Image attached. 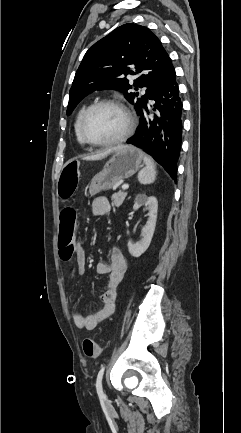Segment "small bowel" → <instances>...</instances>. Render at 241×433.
Wrapping results in <instances>:
<instances>
[{
    "instance_id": "small-bowel-1",
    "label": "small bowel",
    "mask_w": 241,
    "mask_h": 433,
    "mask_svg": "<svg viewBox=\"0 0 241 433\" xmlns=\"http://www.w3.org/2000/svg\"><path fill=\"white\" fill-rule=\"evenodd\" d=\"M91 209L94 215L103 216L111 211V205L105 197H97L92 201ZM76 255L77 271L79 274H84L85 251L81 248L80 251H76ZM126 270L127 263L123 254L117 247H113L110 252L109 262H99L96 265L97 273L108 277L105 288L100 296V308L89 315L74 313L73 322L77 328L93 331L98 325L106 321L113 314L118 287Z\"/></svg>"
}]
</instances>
